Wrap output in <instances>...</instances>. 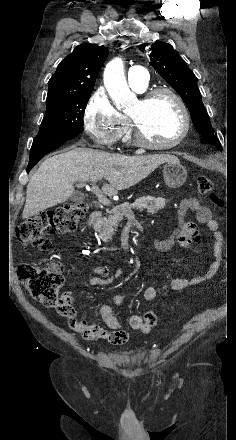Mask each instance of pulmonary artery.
Returning a JSON list of instances; mask_svg holds the SVG:
<instances>
[{
  "mask_svg": "<svg viewBox=\"0 0 236 440\" xmlns=\"http://www.w3.org/2000/svg\"><path fill=\"white\" fill-rule=\"evenodd\" d=\"M127 79L132 88L144 90L148 85L149 73L145 67L134 65L130 67Z\"/></svg>",
  "mask_w": 236,
  "mask_h": 440,
  "instance_id": "e3ab8cb5",
  "label": "pulmonary artery"
}]
</instances>
